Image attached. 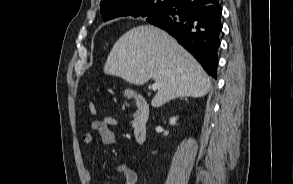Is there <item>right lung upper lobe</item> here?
<instances>
[{"mask_svg":"<svg viewBox=\"0 0 293 184\" xmlns=\"http://www.w3.org/2000/svg\"><path fill=\"white\" fill-rule=\"evenodd\" d=\"M170 1L171 0H157V2L156 0H102L100 2V14L104 20H110L120 16L136 17L140 12H144L148 9H156L164 12ZM206 4L208 3L204 5Z\"/></svg>","mask_w":293,"mask_h":184,"instance_id":"right-lung-upper-lobe-1","label":"right lung upper lobe"}]
</instances>
